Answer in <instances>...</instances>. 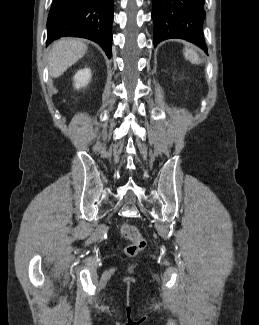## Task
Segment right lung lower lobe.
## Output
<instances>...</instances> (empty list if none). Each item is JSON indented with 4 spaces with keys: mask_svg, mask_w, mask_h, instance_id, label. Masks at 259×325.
Returning <instances> with one entry per match:
<instances>
[{
    "mask_svg": "<svg viewBox=\"0 0 259 325\" xmlns=\"http://www.w3.org/2000/svg\"><path fill=\"white\" fill-rule=\"evenodd\" d=\"M113 15V0H53L47 44L64 36L87 38L111 58Z\"/></svg>",
    "mask_w": 259,
    "mask_h": 325,
    "instance_id": "98d812e1",
    "label": "right lung lower lobe"
}]
</instances>
